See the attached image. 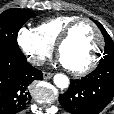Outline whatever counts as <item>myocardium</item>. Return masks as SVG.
<instances>
[{
    "instance_id": "myocardium-1",
    "label": "myocardium",
    "mask_w": 114,
    "mask_h": 114,
    "mask_svg": "<svg viewBox=\"0 0 114 114\" xmlns=\"http://www.w3.org/2000/svg\"><path fill=\"white\" fill-rule=\"evenodd\" d=\"M82 22H87L94 28V30L98 36L99 43H98V48H97L94 58L87 66L80 68V69H74V68L67 67L68 70L76 76L86 75V74L92 72L93 70H95L101 61V58H102V55L104 52V48H105L104 36H103L99 26L95 23V21L90 18L80 17V18L72 21L70 24H68L67 27L63 30V32L59 36V38L55 44L57 54L60 56V51H61L62 46L70 38L73 30Z\"/></svg>"
}]
</instances>
